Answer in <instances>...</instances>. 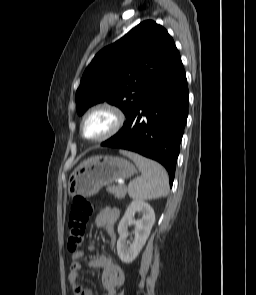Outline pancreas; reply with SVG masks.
Instances as JSON below:
<instances>
[{"instance_id": "1", "label": "pancreas", "mask_w": 256, "mask_h": 295, "mask_svg": "<svg viewBox=\"0 0 256 295\" xmlns=\"http://www.w3.org/2000/svg\"><path fill=\"white\" fill-rule=\"evenodd\" d=\"M107 191L114 195L116 199H122L127 193V188L124 185L109 186Z\"/></svg>"}]
</instances>
